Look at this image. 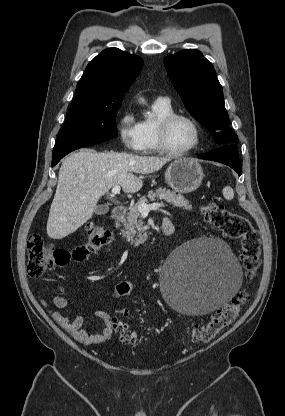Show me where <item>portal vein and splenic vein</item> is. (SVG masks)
I'll use <instances>...</instances> for the list:
<instances>
[{
	"mask_svg": "<svg viewBox=\"0 0 285 416\" xmlns=\"http://www.w3.org/2000/svg\"><path fill=\"white\" fill-rule=\"evenodd\" d=\"M120 186H113L111 192L112 194H120ZM158 208H164V204H159V202H156V204H139L138 210L140 214H149L150 210H158Z\"/></svg>",
	"mask_w": 285,
	"mask_h": 416,
	"instance_id": "1",
	"label": "portal vein and splenic vein"
}]
</instances>
